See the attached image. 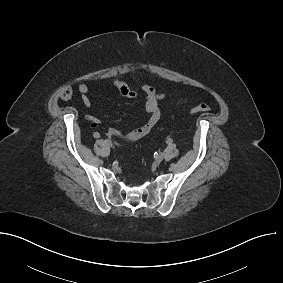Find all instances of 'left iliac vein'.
Wrapping results in <instances>:
<instances>
[{"instance_id": "4c4485c4", "label": "left iliac vein", "mask_w": 283, "mask_h": 283, "mask_svg": "<svg viewBox=\"0 0 283 283\" xmlns=\"http://www.w3.org/2000/svg\"><path fill=\"white\" fill-rule=\"evenodd\" d=\"M163 159H164V154H163V153H159V154L156 156V158H155V160H156L157 163L162 162Z\"/></svg>"}]
</instances>
